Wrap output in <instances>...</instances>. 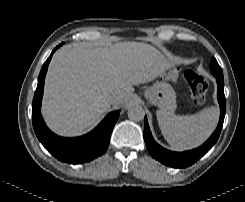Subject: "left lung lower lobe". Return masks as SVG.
<instances>
[{"label": "left lung lower lobe", "instance_id": "obj_1", "mask_svg": "<svg viewBox=\"0 0 245 202\" xmlns=\"http://www.w3.org/2000/svg\"><path fill=\"white\" fill-rule=\"evenodd\" d=\"M216 78H217V85H218L217 96L220 105V121L216 130L211 135V137L204 144H202V146L196 149L185 151V152H171L169 150L164 149L154 141L148 126L147 118L145 116L144 140L147 149L153 158L170 167L185 168L191 166L199 158L204 156V154H206L208 150H210V148L216 143L223 126L224 116L226 112V102H225V95H224V79L223 77H216Z\"/></svg>", "mask_w": 245, "mask_h": 202}]
</instances>
